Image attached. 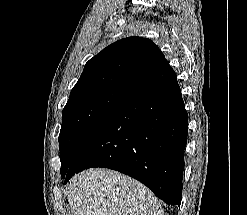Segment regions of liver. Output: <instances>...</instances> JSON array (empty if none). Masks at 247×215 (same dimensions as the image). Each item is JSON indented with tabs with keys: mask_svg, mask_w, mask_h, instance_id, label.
I'll return each mask as SVG.
<instances>
[{
	"mask_svg": "<svg viewBox=\"0 0 247 215\" xmlns=\"http://www.w3.org/2000/svg\"><path fill=\"white\" fill-rule=\"evenodd\" d=\"M65 194L74 215H164L147 187L112 170L80 173L70 180Z\"/></svg>",
	"mask_w": 247,
	"mask_h": 215,
	"instance_id": "liver-1",
	"label": "liver"
}]
</instances>
